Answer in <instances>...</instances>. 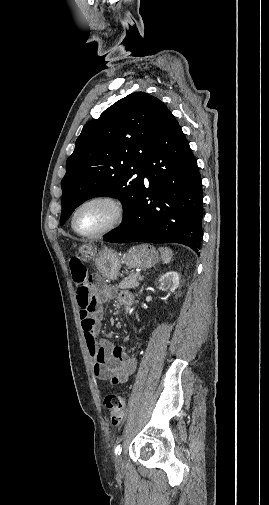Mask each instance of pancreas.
Returning a JSON list of instances; mask_svg holds the SVG:
<instances>
[{"instance_id":"pancreas-1","label":"pancreas","mask_w":269,"mask_h":505,"mask_svg":"<svg viewBox=\"0 0 269 505\" xmlns=\"http://www.w3.org/2000/svg\"><path fill=\"white\" fill-rule=\"evenodd\" d=\"M139 276L140 274L137 272L131 273L129 276L124 278L120 283H119V288L120 289H131V288H137L139 286Z\"/></svg>"}]
</instances>
